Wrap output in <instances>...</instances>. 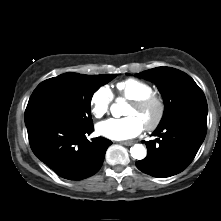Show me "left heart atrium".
<instances>
[{
    "label": "left heart atrium",
    "instance_id": "1",
    "mask_svg": "<svg viewBox=\"0 0 221 221\" xmlns=\"http://www.w3.org/2000/svg\"><path fill=\"white\" fill-rule=\"evenodd\" d=\"M143 124L135 116L121 119L110 118L97 124V132L112 140H127L136 137L143 130Z\"/></svg>",
    "mask_w": 221,
    "mask_h": 221
}]
</instances>
